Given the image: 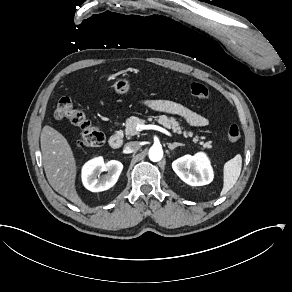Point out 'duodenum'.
I'll return each instance as SVG.
<instances>
[{
	"label": "duodenum",
	"mask_w": 292,
	"mask_h": 292,
	"mask_svg": "<svg viewBox=\"0 0 292 292\" xmlns=\"http://www.w3.org/2000/svg\"><path fill=\"white\" fill-rule=\"evenodd\" d=\"M123 145V136L120 133L113 134L109 139V146L112 149H119Z\"/></svg>",
	"instance_id": "obj_1"
}]
</instances>
